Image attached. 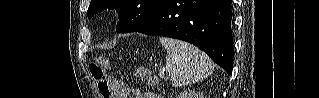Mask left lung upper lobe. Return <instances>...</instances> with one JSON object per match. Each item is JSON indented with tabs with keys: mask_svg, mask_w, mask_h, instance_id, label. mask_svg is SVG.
Masks as SVG:
<instances>
[{
	"mask_svg": "<svg viewBox=\"0 0 319 98\" xmlns=\"http://www.w3.org/2000/svg\"><path fill=\"white\" fill-rule=\"evenodd\" d=\"M163 0H91L88 18L104 9L116 8L120 20L116 30L119 33L134 32L144 26L155 14Z\"/></svg>",
	"mask_w": 319,
	"mask_h": 98,
	"instance_id": "left-lung-upper-lobe-1",
	"label": "left lung upper lobe"
}]
</instances>
